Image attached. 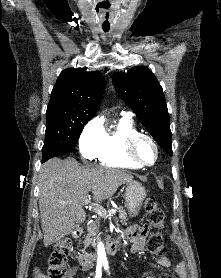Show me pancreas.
<instances>
[{
    "mask_svg": "<svg viewBox=\"0 0 221 278\" xmlns=\"http://www.w3.org/2000/svg\"><path fill=\"white\" fill-rule=\"evenodd\" d=\"M118 213H119V219L122 223L126 224L127 219V213L123 207H118ZM105 216V215H103ZM98 227H102V222H91L88 224V233L85 237V240L82 242L84 244V249L82 252L85 251V249L93 243L94 241V234H96V230Z\"/></svg>",
    "mask_w": 221,
    "mask_h": 278,
    "instance_id": "pancreas-1",
    "label": "pancreas"
}]
</instances>
